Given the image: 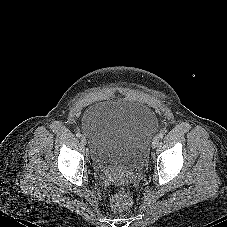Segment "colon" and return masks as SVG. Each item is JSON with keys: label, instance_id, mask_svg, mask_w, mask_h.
Listing matches in <instances>:
<instances>
[{"label": "colon", "instance_id": "colon-1", "mask_svg": "<svg viewBox=\"0 0 227 227\" xmlns=\"http://www.w3.org/2000/svg\"><path fill=\"white\" fill-rule=\"evenodd\" d=\"M133 202V192L128 188L118 189L110 199V204L113 210L124 212L128 210Z\"/></svg>", "mask_w": 227, "mask_h": 227}]
</instances>
